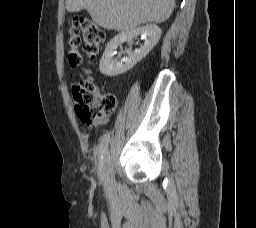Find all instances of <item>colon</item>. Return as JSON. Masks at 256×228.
<instances>
[{
  "mask_svg": "<svg viewBox=\"0 0 256 228\" xmlns=\"http://www.w3.org/2000/svg\"><path fill=\"white\" fill-rule=\"evenodd\" d=\"M66 63L75 69L82 63L79 51L83 38V49L90 58H95L102 47L105 34L102 29L87 17H74L68 26ZM76 113L79 118L90 123L94 120L110 116L116 108V98L112 94H101L89 77H83L72 87Z\"/></svg>",
  "mask_w": 256,
  "mask_h": 228,
  "instance_id": "obj_1",
  "label": "colon"
}]
</instances>
